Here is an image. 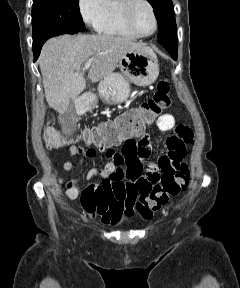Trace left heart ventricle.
<instances>
[{
  "label": "left heart ventricle",
  "mask_w": 240,
  "mask_h": 288,
  "mask_svg": "<svg viewBox=\"0 0 240 288\" xmlns=\"http://www.w3.org/2000/svg\"><path fill=\"white\" fill-rule=\"evenodd\" d=\"M136 30L141 34H150L153 32L155 23L150 9L141 4L137 7L133 18Z\"/></svg>",
  "instance_id": "1"
}]
</instances>
